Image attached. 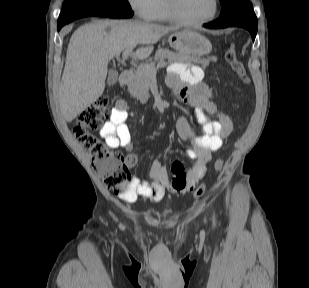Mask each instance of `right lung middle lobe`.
<instances>
[{
  "label": "right lung middle lobe",
  "instance_id": "1",
  "mask_svg": "<svg viewBox=\"0 0 309 288\" xmlns=\"http://www.w3.org/2000/svg\"><path fill=\"white\" fill-rule=\"evenodd\" d=\"M95 8L131 10L127 0H65L58 18V26L68 23L79 14Z\"/></svg>",
  "mask_w": 309,
  "mask_h": 288
}]
</instances>
